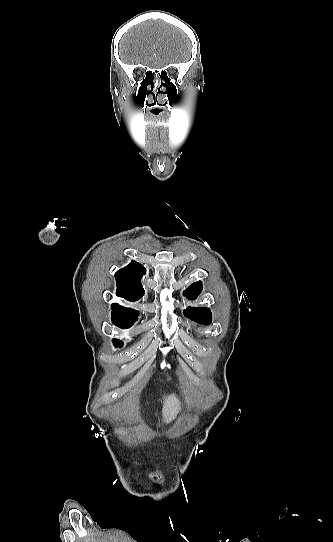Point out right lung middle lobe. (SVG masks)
I'll return each instance as SVG.
<instances>
[{
  "label": "right lung middle lobe",
  "instance_id": "dd1d6c3e",
  "mask_svg": "<svg viewBox=\"0 0 333 542\" xmlns=\"http://www.w3.org/2000/svg\"><path fill=\"white\" fill-rule=\"evenodd\" d=\"M136 320L134 319H125V318H116L112 317V322L122 329L130 328ZM113 344L115 347H122L123 342L118 339H113Z\"/></svg>",
  "mask_w": 333,
  "mask_h": 542
}]
</instances>
